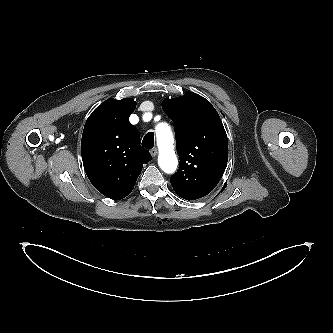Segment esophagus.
<instances>
[{"instance_id": "esophagus-1", "label": "esophagus", "mask_w": 333, "mask_h": 333, "mask_svg": "<svg viewBox=\"0 0 333 333\" xmlns=\"http://www.w3.org/2000/svg\"><path fill=\"white\" fill-rule=\"evenodd\" d=\"M157 153H158L157 148H152L150 150V154H151L152 157H155L157 155Z\"/></svg>"}]
</instances>
